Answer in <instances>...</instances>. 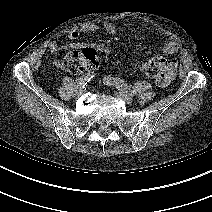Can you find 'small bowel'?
I'll return each mask as SVG.
<instances>
[{
    "mask_svg": "<svg viewBox=\"0 0 212 212\" xmlns=\"http://www.w3.org/2000/svg\"><path fill=\"white\" fill-rule=\"evenodd\" d=\"M99 30H103L107 36H114L117 32L116 26L110 21H104L101 26L94 25V24H87L82 26L79 30H71L67 33V38L70 42L66 44H60L56 41H51L48 45V50L51 54H57L61 51L70 50V49H84L87 47L96 49L105 54H112L113 49L109 46L103 44H95V43H87V42H80L78 38L81 32H96ZM163 52L167 55H173L179 51V45L177 42L173 40H165L163 42ZM154 59H164L165 67L168 68V76L161 80L157 81L161 87H166L169 85L173 77L175 76L176 69H177V61L174 58H165L164 56L158 55L153 57Z\"/></svg>",
    "mask_w": 212,
    "mask_h": 212,
    "instance_id": "c3829d8e",
    "label": "small bowel"
}]
</instances>
